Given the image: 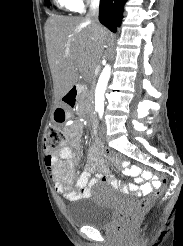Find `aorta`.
I'll use <instances>...</instances> for the list:
<instances>
[{"instance_id":"1","label":"aorta","mask_w":183,"mask_h":246,"mask_svg":"<svg viewBox=\"0 0 183 246\" xmlns=\"http://www.w3.org/2000/svg\"><path fill=\"white\" fill-rule=\"evenodd\" d=\"M110 75H111V67L110 65H106L103 71L101 72L95 90V110L100 111L104 109V94Z\"/></svg>"}]
</instances>
